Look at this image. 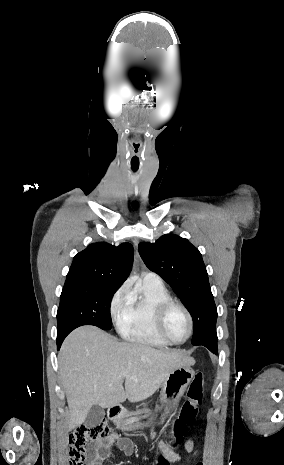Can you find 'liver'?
<instances>
[{"instance_id": "6515ba94", "label": "liver", "mask_w": 284, "mask_h": 465, "mask_svg": "<svg viewBox=\"0 0 284 465\" xmlns=\"http://www.w3.org/2000/svg\"><path fill=\"white\" fill-rule=\"evenodd\" d=\"M58 363L69 407L65 427L73 431L83 425L93 405L108 409L126 399L144 401L174 369L190 367L195 361L180 351L118 343L97 327H79L65 339Z\"/></svg>"}]
</instances>
